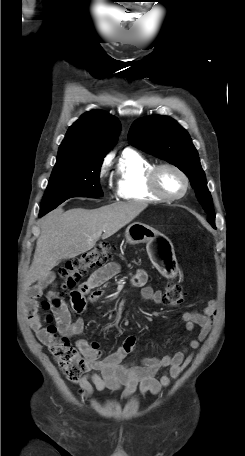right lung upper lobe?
<instances>
[{
    "instance_id": "1",
    "label": "right lung upper lobe",
    "mask_w": 245,
    "mask_h": 456,
    "mask_svg": "<svg viewBox=\"0 0 245 456\" xmlns=\"http://www.w3.org/2000/svg\"><path fill=\"white\" fill-rule=\"evenodd\" d=\"M121 129L120 121L109 113L93 110L83 114L67 131L56 164L68 160L103 159L113 147Z\"/></svg>"
}]
</instances>
